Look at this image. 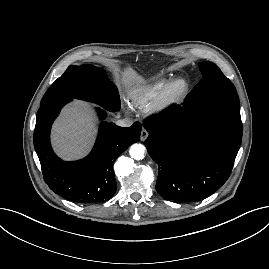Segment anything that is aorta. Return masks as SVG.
<instances>
[{"instance_id": "obj_1", "label": "aorta", "mask_w": 269, "mask_h": 269, "mask_svg": "<svg viewBox=\"0 0 269 269\" xmlns=\"http://www.w3.org/2000/svg\"><path fill=\"white\" fill-rule=\"evenodd\" d=\"M129 154L131 158L135 160H140L144 157L145 154V146L142 144L135 143L131 145L129 149Z\"/></svg>"}]
</instances>
